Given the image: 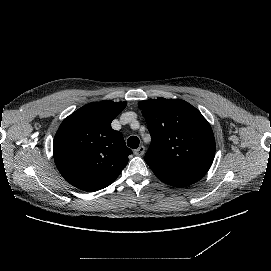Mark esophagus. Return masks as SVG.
Segmentation results:
<instances>
[{
	"label": "esophagus",
	"mask_w": 271,
	"mask_h": 271,
	"mask_svg": "<svg viewBox=\"0 0 271 271\" xmlns=\"http://www.w3.org/2000/svg\"><path fill=\"white\" fill-rule=\"evenodd\" d=\"M134 155L136 156H143L145 153V147L143 145L139 146L137 149L133 151Z\"/></svg>",
	"instance_id": "esophagus-1"
}]
</instances>
